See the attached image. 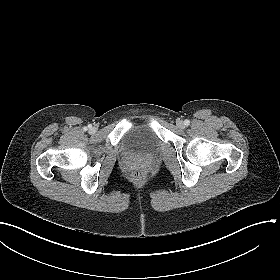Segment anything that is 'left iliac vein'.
Returning a JSON list of instances; mask_svg holds the SVG:
<instances>
[{"instance_id": "4c4485c4", "label": "left iliac vein", "mask_w": 280, "mask_h": 280, "mask_svg": "<svg viewBox=\"0 0 280 280\" xmlns=\"http://www.w3.org/2000/svg\"><path fill=\"white\" fill-rule=\"evenodd\" d=\"M176 124H177V126H178L179 128H183V127H184V123H183V121H181V120H178Z\"/></svg>"}]
</instances>
